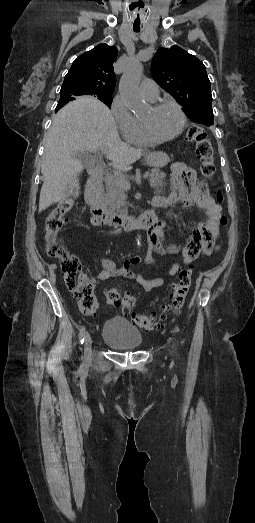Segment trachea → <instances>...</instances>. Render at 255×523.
I'll return each instance as SVG.
<instances>
[{"label":"trachea","instance_id":"obj_1","mask_svg":"<svg viewBox=\"0 0 255 523\" xmlns=\"http://www.w3.org/2000/svg\"><path fill=\"white\" fill-rule=\"evenodd\" d=\"M134 32H140V28L133 27Z\"/></svg>","mask_w":255,"mask_h":523}]
</instances>
